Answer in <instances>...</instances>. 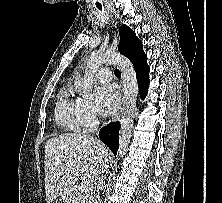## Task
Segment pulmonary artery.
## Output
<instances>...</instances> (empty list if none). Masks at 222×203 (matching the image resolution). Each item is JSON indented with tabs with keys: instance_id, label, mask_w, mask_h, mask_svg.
<instances>
[{
	"instance_id": "obj_1",
	"label": "pulmonary artery",
	"mask_w": 222,
	"mask_h": 203,
	"mask_svg": "<svg viewBox=\"0 0 222 203\" xmlns=\"http://www.w3.org/2000/svg\"><path fill=\"white\" fill-rule=\"evenodd\" d=\"M111 78L112 74L109 68H101L96 73V79L101 83H108Z\"/></svg>"
}]
</instances>
